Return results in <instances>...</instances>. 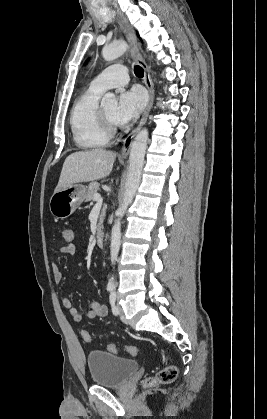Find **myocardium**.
<instances>
[{"mask_svg":"<svg viewBox=\"0 0 267 419\" xmlns=\"http://www.w3.org/2000/svg\"><path fill=\"white\" fill-rule=\"evenodd\" d=\"M99 119L101 126L105 133L108 136H113L117 133L118 126L116 123H113L108 116L106 115L104 109L102 107L99 108Z\"/></svg>","mask_w":267,"mask_h":419,"instance_id":"myocardium-1","label":"myocardium"}]
</instances>
